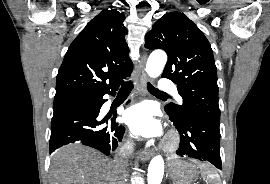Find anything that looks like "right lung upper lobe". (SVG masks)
Wrapping results in <instances>:
<instances>
[{"label":"right lung upper lobe","instance_id":"right-lung-upper-lobe-1","mask_svg":"<svg viewBox=\"0 0 270 184\" xmlns=\"http://www.w3.org/2000/svg\"><path fill=\"white\" fill-rule=\"evenodd\" d=\"M125 15L103 10L71 43L56 79L55 98L119 87L133 64L125 41Z\"/></svg>","mask_w":270,"mask_h":184}]
</instances>
